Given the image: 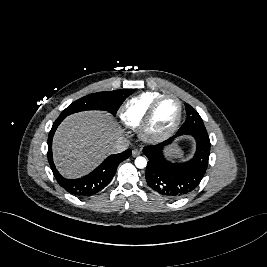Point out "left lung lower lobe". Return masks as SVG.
<instances>
[{
    "mask_svg": "<svg viewBox=\"0 0 267 267\" xmlns=\"http://www.w3.org/2000/svg\"><path fill=\"white\" fill-rule=\"evenodd\" d=\"M191 135L196 140V152L193 158L184 163H172L166 160L163 150L175 137ZM143 153L149 159L146 167L147 184L162 196L180 198L192 192L202 180L210 155V139L207 132L190 131L157 145L145 146Z\"/></svg>",
    "mask_w": 267,
    "mask_h": 267,
    "instance_id": "1",
    "label": "left lung lower lobe"
}]
</instances>
